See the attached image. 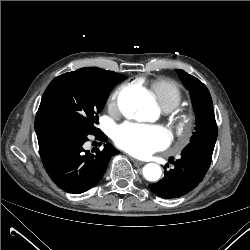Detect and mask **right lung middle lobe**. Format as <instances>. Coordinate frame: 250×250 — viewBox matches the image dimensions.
Instances as JSON below:
<instances>
[{
	"label": "right lung middle lobe",
	"instance_id": "right-lung-middle-lobe-1",
	"mask_svg": "<svg viewBox=\"0 0 250 250\" xmlns=\"http://www.w3.org/2000/svg\"><path fill=\"white\" fill-rule=\"evenodd\" d=\"M127 77L112 72L65 74L56 77L45 90L35 119V130L70 128L98 132L100 113L110 91Z\"/></svg>",
	"mask_w": 250,
	"mask_h": 250
}]
</instances>
